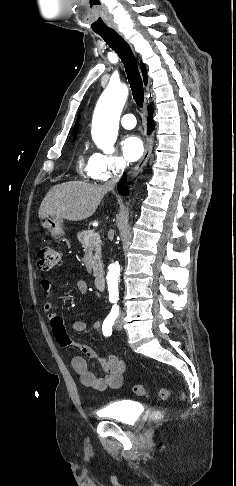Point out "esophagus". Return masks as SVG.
<instances>
[{"label": "esophagus", "mask_w": 236, "mask_h": 486, "mask_svg": "<svg viewBox=\"0 0 236 486\" xmlns=\"http://www.w3.org/2000/svg\"><path fill=\"white\" fill-rule=\"evenodd\" d=\"M114 30L121 36L122 33L119 31L118 27H114ZM152 148H153V135H150L147 140H146V144H145V150H144V153H143V156L141 157V159L139 160L138 164L134 167L132 173H131V176H135L137 175L139 172L142 171V169L144 168V166L146 165V163L148 162V159L150 157V154L152 152Z\"/></svg>", "instance_id": "esophagus-1"}]
</instances>
